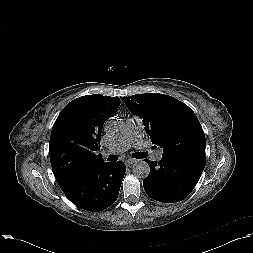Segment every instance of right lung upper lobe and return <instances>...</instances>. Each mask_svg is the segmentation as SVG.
<instances>
[{"label": "right lung upper lobe", "mask_w": 253, "mask_h": 253, "mask_svg": "<svg viewBox=\"0 0 253 253\" xmlns=\"http://www.w3.org/2000/svg\"><path fill=\"white\" fill-rule=\"evenodd\" d=\"M119 105V97L94 94L71 101L60 112L51 132L49 154L61 188L104 163L97 155L103 124Z\"/></svg>", "instance_id": "1"}]
</instances>
